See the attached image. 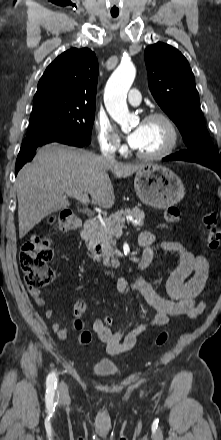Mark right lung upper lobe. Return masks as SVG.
<instances>
[{
    "instance_id": "1",
    "label": "right lung upper lobe",
    "mask_w": 221,
    "mask_h": 440,
    "mask_svg": "<svg viewBox=\"0 0 221 440\" xmlns=\"http://www.w3.org/2000/svg\"><path fill=\"white\" fill-rule=\"evenodd\" d=\"M98 61L88 48H73L58 56L38 83L34 103L60 101L95 105Z\"/></svg>"
}]
</instances>
